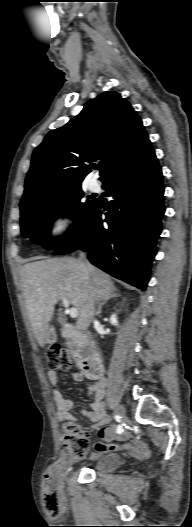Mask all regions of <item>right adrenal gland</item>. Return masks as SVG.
Returning a JSON list of instances; mask_svg holds the SVG:
<instances>
[{
	"instance_id": "obj_1",
	"label": "right adrenal gland",
	"mask_w": 192,
	"mask_h": 527,
	"mask_svg": "<svg viewBox=\"0 0 192 527\" xmlns=\"http://www.w3.org/2000/svg\"><path fill=\"white\" fill-rule=\"evenodd\" d=\"M121 295L117 292H112L110 294H108L106 297L102 298L100 300V303L98 305V310H97V315H100L102 313V307L110 300V299H113V298H117V297H120Z\"/></svg>"
}]
</instances>
